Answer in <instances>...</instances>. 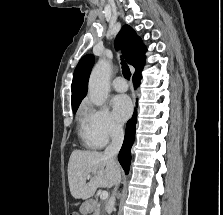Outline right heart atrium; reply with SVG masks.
Returning a JSON list of instances; mask_svg holds the SVG:
<instances>
[{"label": "right heart atrium", "mask_w": 223, "mask_h": 215, "mask_svg": "<svg viewBox=\"0 0 223 215\" xmlns=\"http://www.w3.org/2000/svg\"><path fill=\"white\" fill-rule=\"evenodd\" d=\"M83 124L101 145L118 137L122 132L121 125L107 108H94L90 105H85Z\"/></svg>", "instance_id": "d8ad5b80"}]
</instances>
